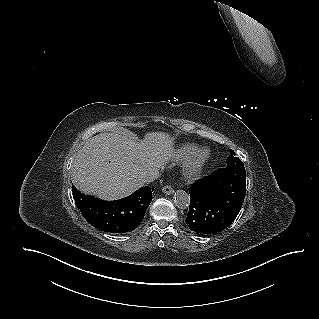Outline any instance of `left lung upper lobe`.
Returning <instances> with one entry per match:
<instances>
[{
	"label": "left lung upper lobe",
	"mask_w": 319,
	"mask_h": 319,
	"mask_svg": "<svg viewBox=\"0 0 319 319\" xmlns=\"http://www.w3.org/2000/svg\"><path fill=\"white\" fill-rule=\"evenodd\" d=\"M227 168L245 169L243 162L236 156V153L231 150L230 155L226 159Z\"/></svg>",
	"instance_id": "5c2ea615"
}]
</instances>
